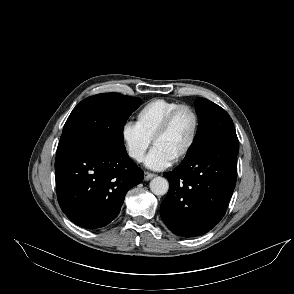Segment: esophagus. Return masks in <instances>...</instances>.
Masks as SVG:
<instances>
[{
  "mask_svg": "<svg viewBox=\"0 0 294 294\" xmlns=\"http://www.w3.org/2000/svg\"><path fill=\"white\" fill-rule=\"evenodd\" d=\"M156 175L150 172H144V180L149 181L150 179L154 178Z\"/></svg>",
  "mask_w": 294,
  "mask_h": 294,
  "instance_id": "obj_1",
  "label": "esophagus"
}]
</instances>
